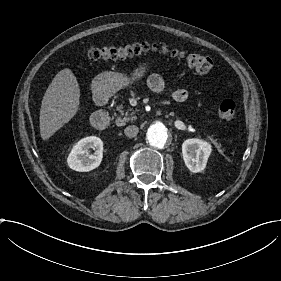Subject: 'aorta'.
I'll use <instances>...</instances> for the list:
<instances>
[{
    "label": "aorta",
    "mask_w": 281,
    "mask_h": 281,
    "mask_svg": "<svg viewBox=\"0 0 281 281\" xmlns=\"http://www.w3.org/2000/svg\"><path fill=\"white\" fill-rule=\"evenodd\" d=\"M147 141L155 148H163L169 141V131L161 122H155L148 128Z\"/></svg>",
    "instance_id": "1"
}]
</instances>
